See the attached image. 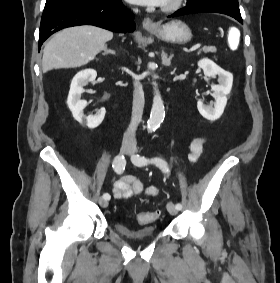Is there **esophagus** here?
Here are the masks:
<instances>
[{
    "instance_id": "esophagus-1",
    "label": "esophagus",
    "mask_w": 280,
    "mask_h": 283,
    "mask_svg": "<svg viewBox=\"0 0 280 283\" xmlns=\"http://www.w3.org/2000/svg\"><path fill=\"white\" fill-rule=\"evenodd\" d=\"M142 25L146 30H156L158 28L157 24H155L150 18H145L142 22Z\"/></svg>"
}]
</instances>
